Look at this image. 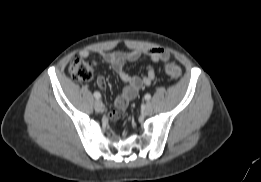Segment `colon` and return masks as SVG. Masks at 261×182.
<instances>
[{
  "label": "colon",
  "mask_w": 261,
  "mask_h": 182,
  "mask_svg": "<svg viewBox=\"0 0 261 182\" xmlns=\"http://www.w3.org/2000/svg\"><path fill=\"white\" fill-rule=\"evenodd\" d=\"M68 69L72 78L77 81L85 82L91 80L93 77L91 63L79 55H75L71 58ZM165 72L173 79H177L181 76L180 67L172 61L167 60L165 62Z\"/></svg>",
  "instance_id": "5ec220e1"
}]
</instances>
